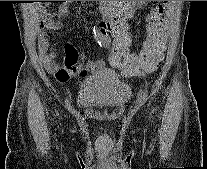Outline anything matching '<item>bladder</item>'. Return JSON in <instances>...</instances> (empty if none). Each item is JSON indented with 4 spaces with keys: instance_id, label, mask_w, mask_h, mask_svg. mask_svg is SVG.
Masks as SVG:
<instances>
[{
    "instance_id": "1",
    "label": "bladder",
    "mask_w": 207,
    "mask_h": 169,
    "mask_svg": "<svg viewBox=\"0 0 207 169\" xmlns=\"http://www.w3.org/2000/svg\"><path fill=\"white\" fill-rule=\"evenodd\" d=\"M130 86L113 71L83 80L78 92V105L84 110L97 108L123 109L131 99Z\"/></svg>"
}]
</instances>
